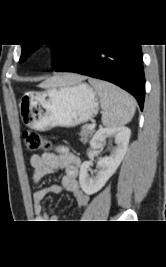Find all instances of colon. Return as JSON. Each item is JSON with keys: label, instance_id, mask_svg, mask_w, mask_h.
<instances>
[{"label": "colon", "instance_id": "colon-1", "mask_svg": "<svg viewBox=\"0 0 166 267\" xmlns=\"http://www.w3.org/2000/svg\"><path fill=\"white\" fill-rule=\"evenodd\" d=\"M23 140L28 151L48 150L51 148V141L33 130L23 131Z\"/></svg>", "mask_w": 166, "mask_h": 267}]
</instances>
